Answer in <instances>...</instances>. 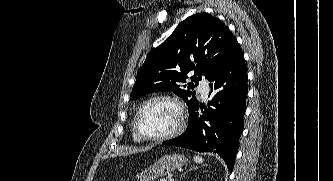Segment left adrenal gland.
<instances>
[{"mask_svg": "<svg viewBox=\"0 0 333 181\" xmlns=\"http://www.w3.org/2000/svg\"><path fill=\"white\" fill-rule=\"evenodd\" d=\"M198 167L194 166V167H190L188 170H186L183 174L180 175L179 179H181L182 177H184L188 172H190L191 170L197 169ZM178 181V180H176Z\"/></svg>", "mask_w": 333, "mask_h": 181, "instance_id": "left-adrenal-gland-1", "label": "left adrenal gland"}]
</instances>
